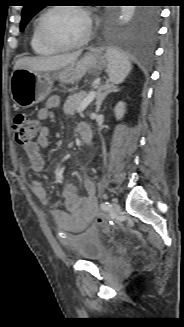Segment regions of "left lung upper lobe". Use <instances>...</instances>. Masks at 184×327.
Instances as JSON below:
<instances>
[{"instance_id":"obj_1","label":"left lung upper lobe","mask_w":184,"mask_h":327,"mask_svg":"<svg viewBox=\"0 0 184 327\" xmlns=\"http://www.w3.org/2000/svg\"><path fill=\"white\" fill-rule=\"evenodd\" d=\"M23 6L20 30L23 31L31 18L44 8L42 0H27Z\"/></svg>"}]
</instances>
